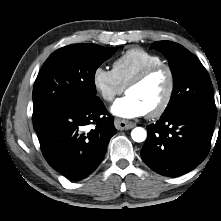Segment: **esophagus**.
<instances>
[{
  "mask_svg": "<svg viewBox=\"0 0 221 221\" xmlns=\"http://www.w3.org/2000/svg\"><path fill=\"white\" fill-rule=\"evenodd\" d=\"M114 125L116 129L118 130H128V129L135 127L134 123L126 121V120L118 119V118L115 119Z\"/></svg>",
  "mask_w": 221,
  "mask_h": 221,
  "instance_id": "1",
  "label": "esophagus"
}]
</instances>
